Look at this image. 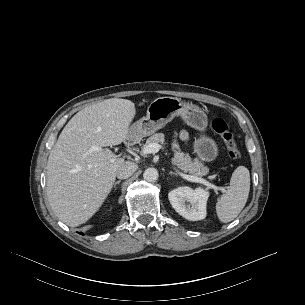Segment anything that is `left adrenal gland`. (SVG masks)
Segmentation results:
<instances>
[{"instance_id": "a2214340", "label": "left adrenal gland", "mask_w": 305, "mask_h": 305, "mask_svg": "<svg viewBox=\"0 0 305 305\" xmlns=\"http://www.w3.org/2000/svg\"><path fill=\"white\" fill-rule=\"evenodd\" d=\"M169 175L177 176V173L171 171V172H169Z\"/></svg>"}]
</instances>
